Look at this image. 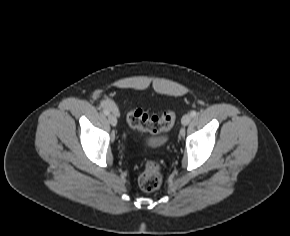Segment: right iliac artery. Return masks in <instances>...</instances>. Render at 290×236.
Here are the masks:
<instances>
[{
  "mask_svg": "<svg viewBox=\"0 0 290 236\" xmlns=\"http://www.w3.org/2000/svg\"><path fill=\"white\" fill-rule=\"evenodd\" d=\"M103 113H104L105 115H109V110L106 109V108H104V109H103Z\"/></svg>",
  "mask_w": 290,
  "mask_h": 236,
  "instance_id": "obj_1",
  "label": "right iliac artery"
}]
</instances>
